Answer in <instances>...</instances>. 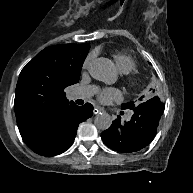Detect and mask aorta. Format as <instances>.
<instances>
[{"mask_svg":"<svg viewBox=\"0 0 193 193\" xmlns=\"http://www.w3.org/2000/svg\"><path fill=\"white\" fill-rule=\"evenodd\" d=\"M88 70L93 78L107 84H112L116 81L113 65L106 59H99L91 63ZM94 123L98 129L107 130L112 124V118L108 113H101L95 117Z\"/></svg>","mask_w":193,"mask_h":193,"instance_id":"obj_1","label":"aorta"}]
</instances>
